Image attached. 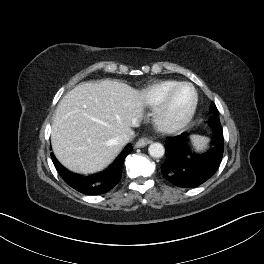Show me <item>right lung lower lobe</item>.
Masks as SVG:
<instances>
[{"label": "right lung lower lobe", "mask_w": 264, "mask_h": 264, "mask_svg": "<svg viewBox=\"0 0 264 264\" xmlns=\"http://www.w3.org/2000/svg\"><path fill=\"white\" fill-rule=\"evenodd\" d=\"M132 150V145L128 144L108 169L91 176L73 174L56 160L53 153L51 157L59 174L69 186L83 194L99 195L110 191L119 182L124 159Z\"/></svg>", "instance_id": "1"}]
</instances>
